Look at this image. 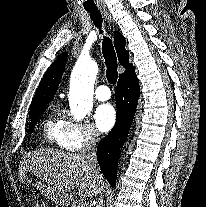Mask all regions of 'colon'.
I'll return each instance as SVG.
<instances>
[{
    "label": "colon",
    "instance_id": "5ec220e1",
    "mask_svg": "<svg viewBox=\"0 0 206 207\" xmlns=\"http://www.w3.org/2000/svg\"><path fill=\"white\" fill-rule=\"evenodd\" d=\"M35 207H46V205L43 202H39Z\"/></svg>",
    "mask_w": 206,
    "mask_h": 207
}]
</instances>
